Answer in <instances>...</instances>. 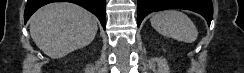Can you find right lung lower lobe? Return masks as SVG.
Listing matches in <instances>:
<instances>
[{
    "instance_id": "obj_1",
    "label": "right lung lower lobe",
    "mask_w": 244,
    "mask_h": 73,
    "mask_svg": "<svg viewBox=\"0 0 244 73\" xmlns=\"http://www.w3.org/2000/svg\"><path fill=\"white\" fill-rule=\"evenodd\" d=\"M72 2L78 4L85 9L92 12L98 17L102 27L105 29L106 26V5L105 0H28L25 7L24 21L25 23L30 18V16L41 6L51 3V2Z\"/></svg>"
}]
</instances>
